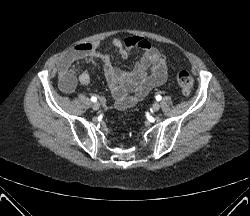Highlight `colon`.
I'll list each match as a JSON object with an SVG mask.
<instances>
[{
	"label": "colon",
	"mask_w": 250,
	"mask_h": 216,
	"mask_svg": "<svg viewBox=\"0 0 250 216\" xmlns=\"http://www.w3.org/2000/svg\"><path fill=\"white\" fill-rule=\"evenodd\" d=\"M177 82L184 95H189L193 89V79L187 71H180L177 74Z\"/></svg>",
	"instance_id": "colon-1"
}]
</instances>
